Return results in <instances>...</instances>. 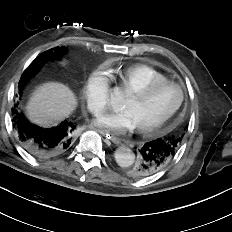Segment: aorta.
<instances>
[{
  "mask_svg": "<svg viewBox=\"0 0 232 232\" xmlns=\"http://www.w3.org/2000/svg\"><path fill=\"white\" fill-rule=\"evenodd\" d=\"M111 105L114 109L119 110L124 105V98L119 88H114L110 95ZM115 160L120 167H129L134 163L135 154L126 146H120L115 151Z\"/></svg>",
  "mask_w": 232,
  "mask_h": 232,
  "instance_id": "aorta-1",
  "label": "aorta"
}]
</instances>
